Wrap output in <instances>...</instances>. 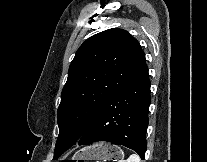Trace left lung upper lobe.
<instances>
[{"mask_svg":"<svg viewBox=\"0 0 207 162\" xmlns=\"http://www.w3.org/2000/svg\"><path fill=\"white\" fill-rule=\"evenodd\" d=\"M145 60L138 41L114 28L87 39L70 64L59 105L54 160L83 135L94 115Z\"/></svg>","mask_w":207,"mask_h":162,"instance_id":"5c2ea615","label":"left lung upper lobe"}]
</instances>
